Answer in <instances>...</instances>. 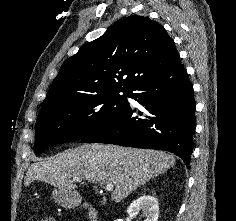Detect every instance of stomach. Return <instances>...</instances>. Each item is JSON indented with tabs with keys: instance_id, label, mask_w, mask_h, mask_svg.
<instances>
[{
	"instance_id": "stomach-1",
	"label": "stomach",
	"mask_w": 236,
	"mask_h": 221,
	"mask_svg": "<svg viewBox=\"0 0 236 221\" xmlns=\"http://www.w3.org/2000/svg\"><path fill=\"white\" fill-rule=\"evenodd\" d=\"M52 195L54 200L65 208H74L81 201V197L77 192L67 191L62 188L54 189Z\"/></svg>"
}]
</instances>
